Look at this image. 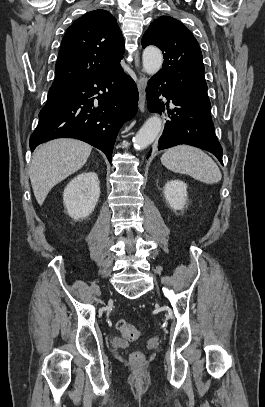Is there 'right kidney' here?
<instances>
[{"label":"right kidney","instance_id":"ca27d5eb","mask_svg":"<svg viewBox=\"0 0 265 407\" xmlns=\"http://www.w3.org/2000/svg\"><path fill=\"white\" fill-rule=\"evenodd\" d=\"M100 197L98 176L95 172H83L72 179L63 192V203L68 215L74 220L89 216Z\"/></svg>","mask_w":265,"mask_h":407}]
</instances>
